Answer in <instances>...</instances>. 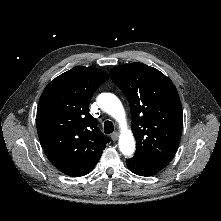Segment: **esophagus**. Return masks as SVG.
<instances>
[{"label":"esophagus","instance_id":"esophagus-1","mask_svg":"<svg viewBox=\"0 0 221 221\" xmlns=\"http://www.w3.org/2000/svg\"><path fill=\"white\" fill-rule=\"evenodd\" d=\"M118 137H119V133H118V132H114V133L111 135V138H112L113 141H117Z\"/></svg>","mask_w":221,"mask_h":221}]
</instances>
